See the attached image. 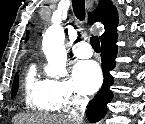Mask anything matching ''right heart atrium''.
I'll use <instances>...</instances> for the list:
<instances>
[{
  "label": "right heart atrium",
  "mask_w": 145,
  "mask_h": 124,
  "mask_svg": "<svg viewBox=\"0 0 145 124\" xmlns=\"http://www.w3.org/2000/svg\"><path fill=\"white\" fill-rule=\"evenodd\" d=\"M51 101L60 111L68 112L85 104V94L69 77L47 80Z\"/></svg>",
  "instance_id": "d8ad5b80"
}]
</instances>
